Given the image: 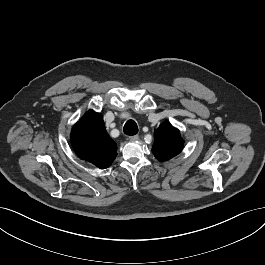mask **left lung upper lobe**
<instances>
[{"instance_id": "5c2ea615", "label": "left lung upper lobe", "mask_w": 265, "mask_h": 265, "mask_svg": "<svg viewBox=\"0 0 265 265\" xmlns=\"http://www.w3.org/2000/svg\"><path fill=\"white\" fill-rule=\"evenodd\" d=\"M153 154L159 161H167L178 155L183 148L179 130L171 124L163 123L155 130Z\"/></svg>"}]
</instances>
